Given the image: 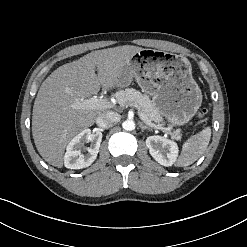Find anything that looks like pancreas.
Returning <instances> with one entry per match:
<instances>
[{"mask_svg":"<svg viewBox=\"0 0 247 247\" xmlns=\"http://www.w3.org/2000/svg\"><path fill=\"white\" fill-rule=\"evenodd\" d=\"M115 98L121 106H129L131 104L137 105L140 111L144 114L146 119L151 122L161 123L163 118L156 110L153 101L148 95L142 94L134 88H127L120 90L115 93ZM172 137L180 139L181 135L179 132H173Z\"/></svg>","mask_w":247,"mask_h":247,"instance_id":"pancreas-1","label":"pancreas"}]
</instances>
